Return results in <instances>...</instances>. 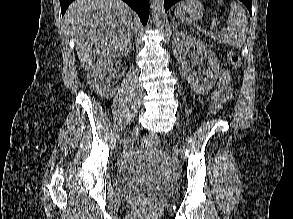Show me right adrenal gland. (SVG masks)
Here are the masks:
<instances>
[{
  "label": "right adrenal gland",
  "instance_id": "right-adrenal-gland-1",
  "mask_svg": "<svg viewBox=\"0 0 293 219\" xmlns=\"http://www.w3.org/2000/svg\"><path fill=\"white\" fill-rule=\"evenodd\" d=\"M133 29H134V28H133V24H132V39H133Z\"/></svg>",
  "mask_w": 293,
  "mask_h": 219
}]
</instances>
